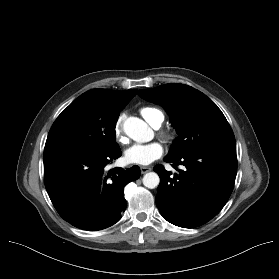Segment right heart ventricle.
Returning a JSON list of instances; mask_svg holds the SVG:
<instances>
[{"label":"right heart ventricle","mask_w":279,"mask_h":279,"mask_svg":"<svg viewBox=\"0 0 279 279\" xmlns=\"http://www.w3.org/2000/svg\"><path fill=\"white\" fill-rule=\"evenodd\" d=\"M140 113L143 118L152 126L157 124L160 125L164 119L163 114L158 109L153 107H143L141 108Z\"/></svg>","instance_id":"right-heart-ventricle-1"}]
</instances>
